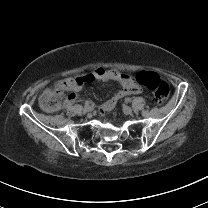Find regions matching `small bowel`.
Here are the masks:
<instances>
[{"mask_svg":"<svg viewBox=\"0 0 208 208\" xmlns=\"http://www.w3.org/2000/svg\"><path fill=\"white\" fill-rule=\"evenodd\" d=\"M67 79L72 84V93L65 100V103L63 105L64 109H67L68 106L74 103L76 99V92L83 85H85L86 83L93 82L94 80H98V79H112L121 83L122 85L121 89H119L110 99H108L101 105V109L103 111H110L124 97L131 95V94H138L141 92V89L139 88V86L133 82L132 78L128 74L116 72L113 70H108L104 67H97L91 73H88L82 76H77V77H70Z\"/></svg>","mask_w":208,"mask_h":208,"instance_id":"1","label":"small bowel"}]
</instances>
